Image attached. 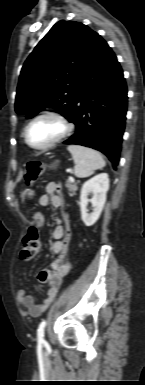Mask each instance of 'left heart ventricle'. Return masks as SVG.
<instances>
[{
    "label": "left heart ventricle",
    "instance_id": "obj_1",
    "mask_svg": "<svg viewBox=\"0 0 145 385\" xmlns=\"http://www.w3.org/2000/svg\"><path fill=\"white\" fill-rule=\"evenodd\" d=\"M63 131L60 122L42 118L34 122L28 131V140L34 146H43L56 139Z\"/></svg>",
    "mask_w": 145,
    "mask_h": 385
}]
</instances>
